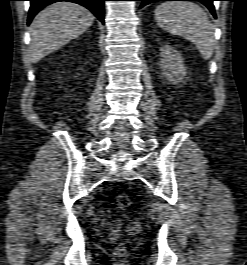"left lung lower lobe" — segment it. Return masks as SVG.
<instances>
[{
  "mask_svg": "<svg viewBox=\"0 0 247 265\" xmlns=\"http://www.w3.org/2000/svg\"><path fill=\"white\" fill-rule=\"evenodd\" d=\"M137 1H142V4L140 6V8H142L149 3L158 2V1H172V0H137ZM184 1H199L203 3L205 6L208 7L212 15L216 18L215 9L213 5V1H216V0H184Z\"/></svg>",
  "mask_w": 247,
  "mask_h": 265,
  "instance_id": "left-lung-lower-lobe-1",
  "label": "left lung lower lobe"
}]
</instances>
